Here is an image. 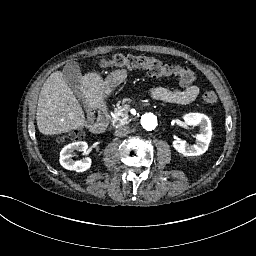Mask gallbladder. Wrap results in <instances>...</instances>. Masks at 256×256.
<instances>
[{"label":"gallbladder","mask_w":256,"mask_h":256,"mask_svg":"<svg viewBox=\"0 0 256 256\" xmlns=\"http://www.w3.org/2000/svg\"><path fill=\"white\" fill-rule=\"evenodd\" d=\"M63 78L68 85V87L73 91V93L81 100L84 104V107L88 110H91L88 107V104L85 102V99L82 97V92L80 91V87L82 86V74L80 70V66L76 61H69L63 68L62 71ZM88 120L90 122H94L95 116L88 115Z\"/></svg>","instance_id":"bac80fb5"}]
</instances>
